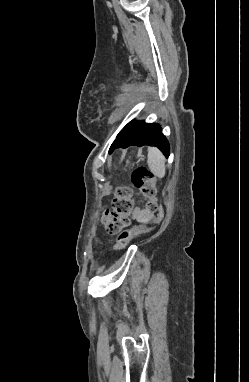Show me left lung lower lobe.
<instances>
[{"label":"left lung lower lobe","instance_id":"0a47b994","mask_svg":"<svg viewBox=\"0 0 249 382\" xmlns=\"http://www.w3.org/2000/svg\"><path fill=\"white\" fill-rule=\"evenodd\" d=\"M130 145L156 146L166 157L169 156L168 141L158 124H147L144 121L135 123L130 129L117 135L116 140L111 145L110 152L115 148H126Z\"/></svg>","mask_w":249,"mask_h":382}]
</instances>
